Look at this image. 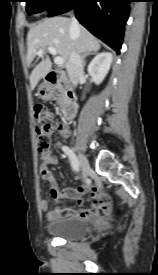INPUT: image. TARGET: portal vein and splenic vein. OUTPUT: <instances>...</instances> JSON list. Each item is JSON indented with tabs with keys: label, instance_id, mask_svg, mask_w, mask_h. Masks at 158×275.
Returning <instances> with one entry per match:
<instances>
[{
	"label": "portal vein and splenic vein",
	"instance_id": "18ae733b",
	"mask_svg": "<svg viewBox=\"0 0 158 275\" xmlns=\"http://www.w3.org/2000/svg\"><path fill=\"white\" fill-rule=\"evenodd\" d=\"M47 50L49 51L50 54H52L53 56H55L54 58V62L56 65H63L64 64V59L60 56H57V51L56 49L53 47V46H49L47 47ZM39 56H42L43 55V50L40 49L37 53Z\"/></svg>",
	"mask_w": 158,
	"mask_h": 275
}]
</instances>
